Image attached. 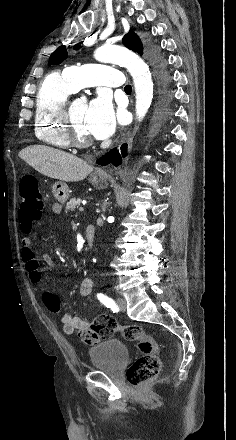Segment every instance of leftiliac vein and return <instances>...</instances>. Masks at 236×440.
I'll use <instances>...</instances> for the list:
<instances>
[{
	"instance_id": "4c4485c4",
	"label": "left iliac vein",
	"mask_w": 236,
	"mask_h": 440,
	"mask_svg": "<svg viewBox=\"0 0 236 440\" xmlns=\"http://www.w3.org/2000/svg\"><path fill=\"white\" fill-rule=\"evenodd\" d=\"M117 306L121 311H125L126 310V301L124 298L119 297L117 299Z\"/></svg>"
}]
</instances>
